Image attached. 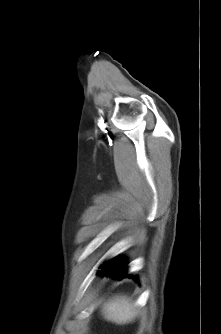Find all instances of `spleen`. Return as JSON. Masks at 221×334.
Masks as SVG:
<instances>
[{
  "mask_svg": "<svg viewBox=\"0 0 221 334\" xmlns=\"http://www.w3.org/2000/svg\"><path fill=\"white\" fill-rule=\"evenodd\" d=\"M102 313L108 321L124 324L132 321L137 311L126 296H115L103 304Z\"/></svg>",
  "mask_w": 221,
  "mask_h": 334,
  "instance_id": "obj_1",
  "label": "spleen"
}]
</instances>
